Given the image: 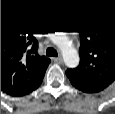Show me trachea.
Wrapping results in <instances>:
<instances>
[{
  "mask_svg": "<svg viewBox=\"0 0 115 114\" xmlns=\"http://www.w3.org/2000/svg\"><path fill=\"white\" fill-rule=\"evenodd\" d=\"M46 54L47 56H58L57 51L52 47L47 48Z\"/></svg>",
  "mask_w": 115,
  "mask_h": 114,
  "instance_id": "obj_1",
  "label": "trachea"
}]
</instances>
